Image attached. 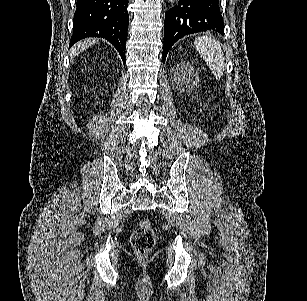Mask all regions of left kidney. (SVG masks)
<instances>
[{
	"label": "left kidney",
	"instance_id": "1",
	"mask_svg": "<svg viewBox=\"0 0 307 301\" xmlns=\"http://www.w3.org/2000/svg\"><path fill=\"white\" fill-rule=\"evenodd\" d=\"M172 74H174L175 86L176 88L179 86V90H186V88L190 90L199 82L198 72L195 66H192L189 62L175 64L172 68Z\"/></svg>",
	"mask_w": 307,
	"mask_h": 301
}]
</instances>
